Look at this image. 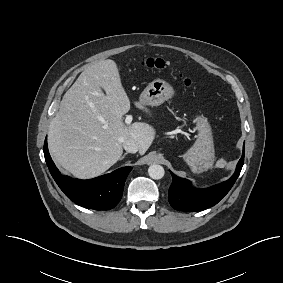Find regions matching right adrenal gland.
I'll return each instance as SVG.
<instances>
[{
    "label": "right adrenal gland",
    "instance_id": "obj_1",
    "mask_svg": "<svg viewBox=\"0 0 283 283\" xmlns=\"http://www.w3.org/2000/svg\"><path fill=\"white\" fill-rule=\"evenodd\" d=\"M127 154L128 153H124L123 156L120 158V160L123 159Z\"/></svg>",
    "mask_w": 283,
    "mask_h": 283
}]
</instances>
